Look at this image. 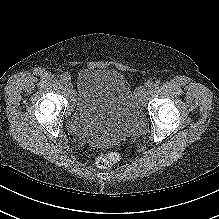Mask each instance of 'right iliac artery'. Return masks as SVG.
I'll list each match as a JSON object with an SVG mask.
<instances>
[{"mask_svg":"<svg viewBox=\"0 0 219 219\" xmlns=\"http://www.w3.org/2000/svg\"><path fill=\"white\" fill-rule=\"evenodd\" d=\"M68 80H70V76L68 74H63L60 77V82L66 84L68 82Z\"/></svg>","mask_w":219,"mask_h":219,"instance_id":"1","label":"right iliac artery"}]
</instances>
